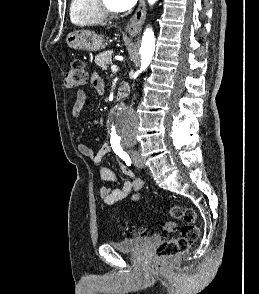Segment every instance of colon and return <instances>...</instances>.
<instances>
[{
    "label": "colon",
    "instance_id": "1",
    "mask_svg": "<svg viewBox=\"0 0 259 294\" xmlns=\"http://www.w3.org/2000/svg\"><path fill=\"white\" fill-rule=\"evenodd\" d=\"M88 73L83 62L74 59L69 65L65 74V86L69 89L80 88L87 84ZM170 215L176 220H183L184 225L180 228L176 221H167L163 226V231L171 233L180 228V236L163 241L156 249V255L160 259H167L185 253L190 245L199 238L200 230L196 225V213L192 208L178 205L170 208ZM129 233L137 236H146L148 231L144 229L129 230Z\"/></svg>",
    "mask_w": 259,
    "mask_h": 294
}]
</instances>
